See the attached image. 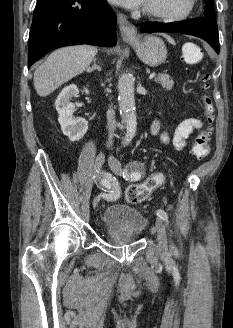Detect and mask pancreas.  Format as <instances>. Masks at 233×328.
<instances>
[{
  "label": "pancreas",
  "instance_id": "cf45deb5",
  "mask_svg": "<svg viewBox=\"0 0 233 328\" xmlns=\"http://www.w3.org/2000/svg\"><path fill=\"white\" fill-rule=\"evenodd\" d=\"M155 82L161 84L163 88L168 90L172 89L174 86V81L168 74H158L155 77Z\"/></svg>",
  "mask_w": 233,
  "mask_h": 328
}]
</instances>
